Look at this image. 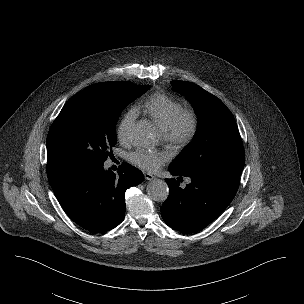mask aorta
<instances>
[{"instance_id":"1","label":"aorta","mask_w":304,"mask_h":304,"mask_svg":"<svg viewBox=\"0 0 304 304\" xmlns=\"http://www.w3.org/2000/svg\"><path fill=\"white\" fill-rule=\"evenodd\" d=\"M136 146H149L152 142L151 128L146 123L137 124L132 134ZM149 197L156 202H163L169 195L167 183L161 179H153L147 186Z\"/></svg>"}]
</instances>
